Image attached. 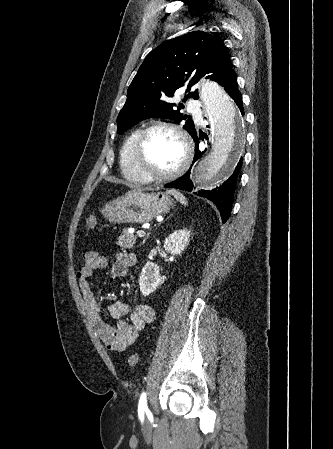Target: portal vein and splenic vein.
Here are the masks:
<instances>
[{
	"label": "portal vein and splenic vein",
	"mask_w": 333,
	"mask_h": 449,
	"mask_svg": "<svg viewBox=\"0 0 333 449\" xmlns=\"http://www.w3.org/2000/svg\"><path fill=\"white\" fill-rule=\"evenodd\" d=\"M137 235L139 236V237H144L145 236V232L144 231H137Z\"/></svg>",
	"instance_id": "18ae733b"
}]
</instances>
